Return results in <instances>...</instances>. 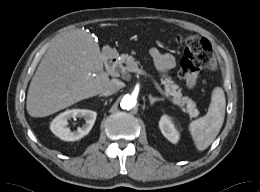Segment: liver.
Wrapping results in <instances>:
<instances>
[{
	"label": "liver",
	"mask_w": 260,
	"mask_h": 192,
	"mask_svg": "<svg viewBox=\"0 0 260 192\" xmlns=\"http://www.w3.org/2000/svg\"><path fill=\"white\" fill-rule=\"evenodd\" d=\"M104 55L90 32L76 29L57 38L42 58L29 85L26 109L45 117L102 93L109 77ZM93 73H97L93 76Z\"/></svg>",
	"instance_id": "6515ba94"
}]
</instances>
